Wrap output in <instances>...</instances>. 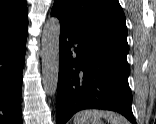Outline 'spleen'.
<instances>
[{
  "label": "spleen",
  "instance_id": "obj_1",
  "mask_svg": "<svg viewBox=\"0 0 156 124\" xmlns=\"http://www.w3.org/2000/svg\"><path fill=\"white\" fill-rule=\"evenodd\" d=\"M104 118L109 124H128L120 115L112 111L88 109L78 112L75 115L73 124H90L92 120Z\"/></svg>",
  "mask_w": 156,
  "mask_h": 124
}]
</instances>
